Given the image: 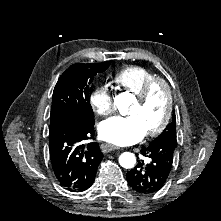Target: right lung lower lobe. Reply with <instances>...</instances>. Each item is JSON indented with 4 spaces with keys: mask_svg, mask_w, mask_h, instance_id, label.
<instances>
[{
    "mask_svg": "<svg viewBox=\"0 0 221 221\" xmlns=\"http://www.w3.org/2000/svg\"><path fill=\"white\" fill-rule=\"evenodd\" d=\"M94 137V123L64 120L49 128V152L59 183L67 190H87L94 182L103 158Z\"/></svg>",
    "mask_w": 221,
    "mask_h": 221,
    "instance_id": "right-lung-lower-lobe-1",
    "label": "right lung lower lobe"
}]
</instances>
